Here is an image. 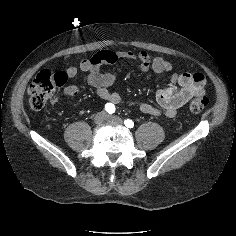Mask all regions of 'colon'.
Returning a JSON list of instances; mask_svg holds the SVG:
<instances>
[{"label":"colon","mask_w":236,"mask_h":236,"mask_svg":"<svg viewBox=\"0 0 236 236\" xmlns=\"http://www.w3.org/2000/svg\"><path fill=\"white\" fill-rule=\"evenodd\" d=\"M67 75L62 71L44 70L31 82L28 88L29 105L33 110L45 107L53 93L67 82ZM208 105L206 97H197L190 103L193 113L203 111Z\"/></svg>","instance_id":"colon-1"}]
</instances>
